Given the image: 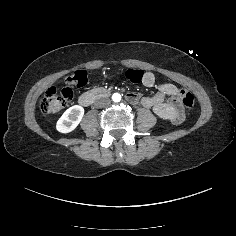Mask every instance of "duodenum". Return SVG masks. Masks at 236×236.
Listing matches in <instances>:
<instances>
[{
    "label": "duodenum",
    "mask_w": 236,
    "mask_h": 236,
    "mask_svg": "<svg viewBox=\"0 0 236 236\" xmlns=\"http://www.w3.org/2000/svg\"><path fill=\"white\" fill-rule=\"evenodd\" d=\"M166 92H161L157 96L153 98H146L142 101L144 107L151 108L157 115L164 119H168L170 121L177 122L181 120L183 116V110L181 108V104L179 98L176 96L174 92L171 94L173 95L170 102L163 103L160 97L165 94ZM109 92L105 89H93L87 91L80 95L78 101L82 106H88L94 101L107 97ZM127 98L130 102H137L139 100V96L134 93H130L127 95Z\"/></svg>",
    "instance_id": "duodenum-1"
}]
</instances>
